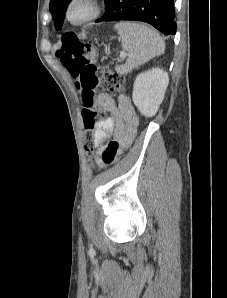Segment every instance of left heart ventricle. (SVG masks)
Listing matches in <instances>:
<instances>
[{
	"label": "left heart ventricle",
	"mask_w": 227,
	"mask_h": 298,
	"mask_svg": "<svg viewBox=\"0 0 227 298\" xmlns=\"http://www.w3.org/2000/svg\"><path fill=\"white\" fill-rule=\"evenodd\" d=\"M91 12V5L88 0H79L71 8V17L73 20H80Z\"/></svg>",
	"instance_id": "b2bd125f"
}]
</instances>
